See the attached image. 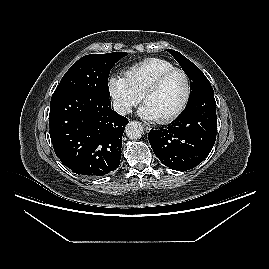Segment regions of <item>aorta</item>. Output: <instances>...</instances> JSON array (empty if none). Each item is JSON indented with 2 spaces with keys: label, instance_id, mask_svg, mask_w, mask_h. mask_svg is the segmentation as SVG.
<instances>
[{
  "label": "aorta",
  "instance_id": "obj_1",
  "mask_svg": "<svg viewBox=\"0 0 269 269\" xmlns=\"http://www.w3.org/2000/svg\"><path fill=\"white\" fill-rule=\"evenodd\" d=\"M126 135L129 139H139L143 135V126L139 122H130L125 128Z\"/></svg>",
  "mask_w": 269,
  "mask_h": 269
}]
</instances>
